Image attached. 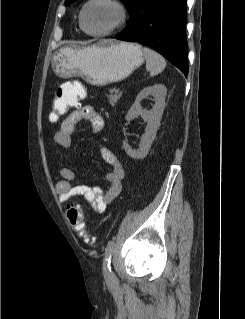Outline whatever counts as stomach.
Segmentation results:
<instances>
[{
    "label": "stomach",
    "mask_w": 245,
    "mask_h": 319,
    "mask_svg": "<svg viewBox=\"0 0 245 319\" xmlns=\"http://www.w3.org/2000/svg\"><path fill=\"white\" fill-rule=\"evenodd\" d=\"M143 62L139 44L109 41L62 47L54 53L51 64L58 77L81 76L92 85L103 86L127 78Z\"/></svg>",
    "instance_id": "obj_1"
}]
</instances>
